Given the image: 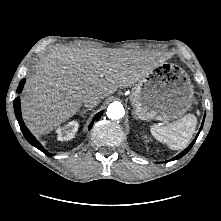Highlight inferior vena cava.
Segmentation results:
<instances>
[{
    "mask_svg": "<svg viewBox=\"0 0 221 221\" xmlns=\"http://www.w3.org/2000/svg\"><path fill=\"white\" fill-rule=\"evenodd\" d=\"M99 104V97L95 94H86L83 98V105L89 109L97 106Z\"/></svg>",
    "mask_w": 221,
    "mask_h": 221,
    "instance_id": "602c4592",
    "label": "inferior vena cava"
}]
</instances>
